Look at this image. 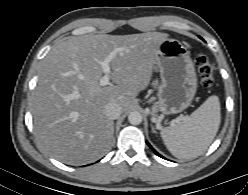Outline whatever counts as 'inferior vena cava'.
<instances>
[{
    "instance_id": "inferior-vena-cava-1",
    "label": "inferior vena cava",
    "mask_w": 248,
    "mask_h": 195,
    "mask_svg": "<svg viewBox=\"0 0 248 195\" xmlns=\"http://www.w3.org/2000/svg\"><path fill=\"white\" fill-rule=\"evenodd\" d=\"M104 112H105V115L109 119L114 120V119L119 118V116L122 113V108L118 103L110 102V103L106 104V106L104 108Z\"/></svg>"
}]
</instances>
